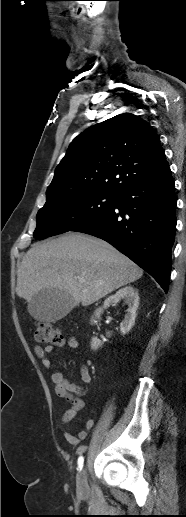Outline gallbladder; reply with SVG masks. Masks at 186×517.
Returning a JSON list of instances; mask_svg holds the SVG:
<instances>
[{
  "instance_id": "gallbladder-1",
  "label": "gallbladder",
  "mask_w": 186,
  "mask_h": 517,
  "mask_svg": "<svg viewBox=\"0 0 186 517\" xmlns=\"http://www.w3.org/2000/svg\"><path fill=\"white\" fill-rule=\"evenodd\" d=\"M72 308V297L57 289L41 290L28 304V311L33 318L48 322L63 318Z\"/></svg>"
}]
</instances>
